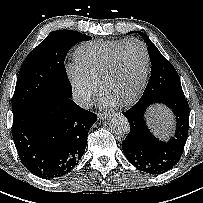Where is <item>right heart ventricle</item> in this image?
Segmentation results:
<instances>
[{
    "instance_id": "1",
    "label": "right heart ventricle",
    "mask_w": 203,
    "mask_h": 203,
    "mask_svg": "<svg viewBox=\"0 0 203 203\" xmlns=\"http://www.w3.org/2000/svg\"><path fill=\"white\" fill-rule=\"evenodd\" d=\"M126 39L111 41H94L79 46L75 51V61L78 66L96 82L114 51Z\"/></svg>"
}]
</instances>
